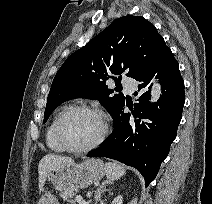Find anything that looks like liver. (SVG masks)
Here are the masks:
<instances>
[{
  "instance_id": "6515ba94",
  "label": "liver",
  "mask_w": 212,
  "mask_h": 204,
  "mask_svg": "<svg viewBox=\"0 0 212 204\" xmlns=\"http://www.w3.org/2000/svg\"><path fill=\"white\" fill-rule=\"evenodd\" d=\"M74 160L70 157L59 156L55 154L45 155L39 162L38 165V179H39V190H43L44 183L47 179L48 173L56 166L72 163Z\"/></svg>"
}]
</instances>
